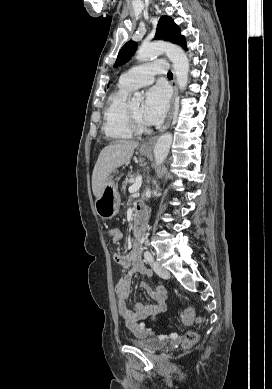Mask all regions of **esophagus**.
I'll use <instances>...</instances> for the list:
<instances>
[{"instance_id": "obj_1", "label": "esophagus", "mask_w": 272, "mask_h": 389, "mask_svg": "<svg viewBox=\"0 0 272 389\" xmlns=\"http://www.w3.org/2000/svg\"><path fill=\"white\" fill-rule=\"evenodd\" d=\"M172 86H173V97H172V101H171V108H170V112H169V115H168V118H167V121L165 123V125L160 129V133L164 132L166 129H168L170 123H171V120L173 118V113H174V104H175V100L177 98V95H178V88H177V83H176V77H175V74L173 76V80H172ZM158 138V135L150 138L147 142H145L144 144H142V148H152L153 145L155 144L156 140Z\"/></svg>"}]
</instances>
